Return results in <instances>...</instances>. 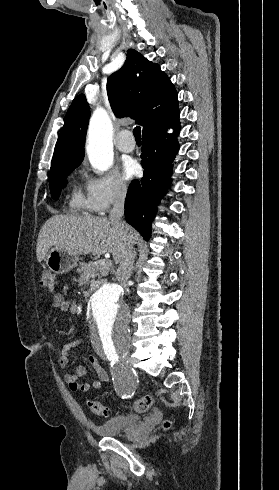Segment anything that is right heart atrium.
<instances>
[{
	"instance_id": "obj_1",
	"label": "right heart atrium",
	"mask_w": 279,
	"mask_h": 490,
	"mask_svg": "<svg viewBox=\"0 0 279 490\" xmlns=\"http://www.w3.org/2000/svg\"><path fill=\"white\" fill-rule=\"evenodd\" d=\"M84 207L94 216L104 215L111 205L124 199L127 186L115 173L104 175L84 171Z\"/></svg>"
}]
</instances>
